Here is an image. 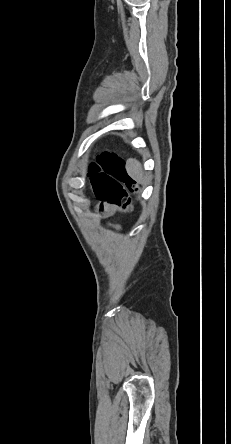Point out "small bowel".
Here are the masks:
<instances>
[{"label":"small bowel","instance_id":"c3829d8e","mask_svg":"<svg viewBox=\"0 0 231 444\" xmlns=\"http://www.w3.org/2000/svg\"><path fill=\"white\" fill-rule=\"evenodd\" d=\"M115 210H116V206H114V205H107V206L105 207V211H106V213H108V214H112V213H114Z\"/></svg>","mask_w":231,"mask_h":444}]
</instances>
